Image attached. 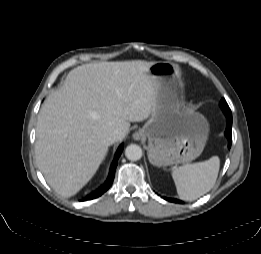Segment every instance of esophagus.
<instances>
[{
	"label": "esophagus",
	"instance_id": "esophagus-1",
	"mask_svg": "<svg viewBox=\"0 0 261 254\" xmlns=\"http://www.w3.org/2000/svg\"><path fill=\"white\" fill-rule=\"evenodd\" d=\"M141 133H139V132H137V133H135L134 135H133V138L135 139V140H139L140 138H141Z\"/></svg>",
	"mask_w": 261,
	"mask_h": 254
}]
</instances>
